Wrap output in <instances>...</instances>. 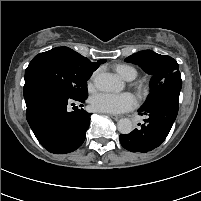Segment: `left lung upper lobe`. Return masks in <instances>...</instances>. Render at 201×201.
Returning a JSON list of instances; mask_svg holds the SVG:
<instances>
[{"mask_svg": "<svg viewBox=\"0 0 201 201\" xmlns=\"http://www.w3.org/2000/svg\"><path fill=\"white\" fill-rule=\"evenodd\" d=\"M125 61L139 65L146 73L152 75L150 94L143 107L162 96L179 98L182 80L179 65L173 58L145 50L127 57Z\"/></svg>", "mask_w": 201, "mask_h": 201, "instance_id": "1", "label": "left lung upper lobe"}]
</instances>
